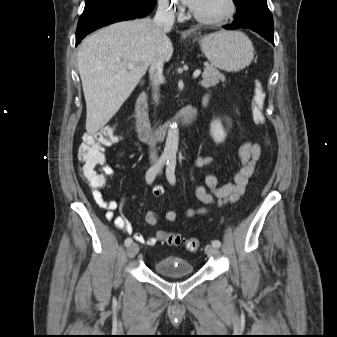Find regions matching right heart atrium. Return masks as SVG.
Masks as SVG:
<instances>
[{"label": "right heart atrium", "mask_w": 337, "mask_h": 337, "mask_svg": "<svg viewBox=\"0 0 337 337\" xmlns=\"http://www.w3.org/2000/svg\"><path fill=\"white\" fill-rule=\"evenodd\" d=\"M160 8L170 15H179L181 6L177 0H158Z\"/></svg>", "instance_id": "obj_1"}]
</instances>
